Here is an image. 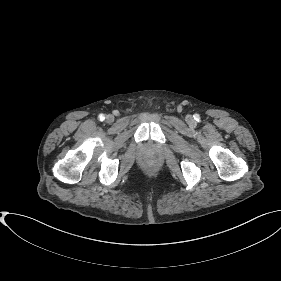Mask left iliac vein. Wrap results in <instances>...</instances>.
<instances>
[{
	"mask_svg": "<svg viewBox=\"0 0 281 281\" xmlns=\"http://www.w3.org/2000/svg\"><path fill=\"white\" fill-rule=\"evenodd\" d=\"M187 120H188V122H191V121H192V117H191V116H188V117H187Z\"/></svg>",
	"mask_w": 281,
	"mask_h": 281,
	"instance_id": "left-iliac-vein-1",
	"label": "left iliac vein"
}]
</instances>
